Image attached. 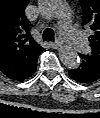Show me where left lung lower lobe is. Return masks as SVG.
<instances>
[{
  "instance_id": "left-lung-lower-lobe-1",
  "label": "left lung lower lobe",
  "mask_w": 100,
  "mask_h": 118,
  "mask_svg": "<svg viewBox=\"0 0 100 118\" xmlns=\"http://www.w3.org/2000/svg\"><path fill=\"white\" fill-rule=\"evenodd\" d=\"M82 58L81 64L78 68L69 70V76L80 83H91L100 78V66L87 60L80 55Z\"/></svg>"
}]
</instances>
